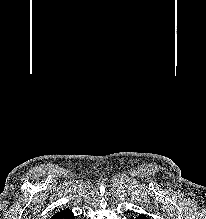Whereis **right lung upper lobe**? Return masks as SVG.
<instances>
[{
  "label": "right lung upper lobe",
  "instance_id": "1",
  "mask_svg": "<svg viewBox=\"0 0 206 219\" xmlns=\"http://www.w3.org/2000/svg\"><path fill=\"white\" fill-rule=\"evenodd\" d=\"M51 219H75L69 209H64L54 214Z\"/></svg>",
  "mask_w": 206,
  "mask_h": 219
}]
</instances>
